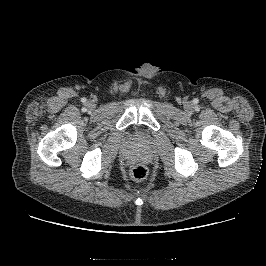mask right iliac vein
Returning <instances> with one entry per match:
<instances>
[{
    "mask_svg": "<svg viewBox=\"0 0 266 266\" xmlns=\"http://www.w3.org/2000/svg\"><path fill=\"white\" fill-rule=\"evenodd\" d=\"M88 105H89V108H95V103L92 102V101H90V102L88 103Z\"/></svg>",
    "mask_w": 266,
    "mask_h": 266,
    "instance_id": "right-iliac-vein-1",
    "label": "right iliac vein"
}]
</instances>
